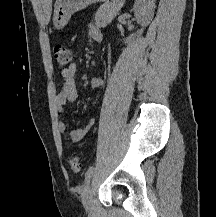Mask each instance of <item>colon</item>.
Wrapping results in <instances>:
<instances>
[{
  "mask_svg": "<svg viewBox=\"0 0 216 217\" xmlns=\"http://www.w3.org/2000/svg\"><path fill=\"white\" fill-rule=\"evenodd\" d=\"M53 57L60 68H66L69 66L71 60H72V51L62 45V44H57L54 49H53ZM68 163L70 165V168L74 172H80L81 171V161L80 158L77 156H71L68 158Z\"/></svg>",
  "mask_w": 216,
  "mask_h": 217,
  "instance_id": "obj_1",
  "label": "colon"
}]
</instances>
